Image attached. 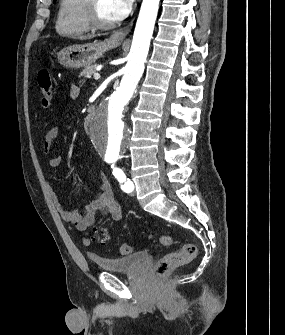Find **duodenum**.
Here are the masks:
<instances>
[{
    "label": "duodenum",
    "instance_id": "duodenum-1",
    "mask_svg": "<svg viewBox=\"0 0 285 335\" xmlns=\"http://www.w3.org/2000/svg\"><path fill=\"white\" fill-rule=\"evenodd\" d=\"M91 119H92V116H91V113H89L84 119V128L85 129L89 128V124H90Z\"/></svg>",
    "mask_w": 285,
    "mask_h": 335
}]
</instances>
